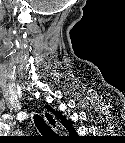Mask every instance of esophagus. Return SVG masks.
<instances>
[{"instance_id":"obj_1","label":"esophagus","mask_w":125,"mask_h":143,"mask_svg":"<svg viewBox=\"0 0 125 143\" xmlns=\"http://www.w3.org/2000/svg\"><path fill=\"white\" fill-rule=\"evenodd\" d=\"M43 116L46 123L51 127V129L56 131L58 125L55 117L50 112H47V111L43 113Z\"/></svg>"}]
</instances>
